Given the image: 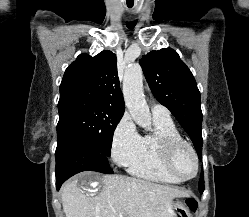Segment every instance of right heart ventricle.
Segmentation results:
<instances>
[{"mask_svg": "<svg viewBox=\"0 0 249 217\" xmlns=\"http://www.w3.org/2000/svg\"><path fill=\"white\" fill-rule=\"evenodd\" d=\"M155 130L141 137L139 148L129 164V172L142 179L164 184H177L181 181L171 175L165 167L162 140L182 138L171 118L153 117Z\"/></svg>", "mask_w": 249, "mask_h": 217, "instance_id": "e07e8e85", "label": "right heart ventricle"}]
</instances>
